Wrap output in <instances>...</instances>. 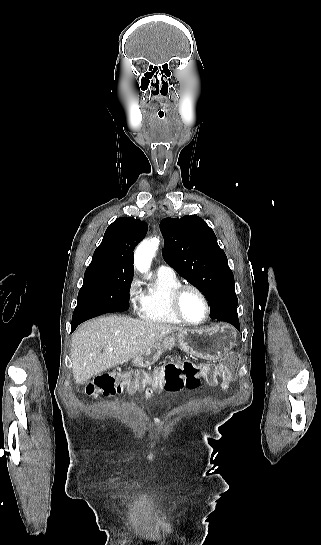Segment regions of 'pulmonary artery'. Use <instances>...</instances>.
Wrapping results in <instances>:
<instances>
[{"label":"pulmonary artery","mask_w":321,"mask_h":545,"mask_svg":"<svg viewBox=\"0 0 321 545\" xmlns=\"http://www.w3.org/2000/svg\"><path fill=\"white\" fill-rule=\"evenodd\" d=\"M157 272L162 273V274H166V275H169V276H176V272L173 269V267H171L170 265L165 264V263H162V264L158 265Z\"/></svg>","instance_id":"obj_1"}]
</instances>
